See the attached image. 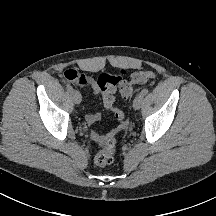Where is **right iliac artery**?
Returning a JSON list of instances; mask_svg holds the SVG:
<instances>
[{
	"label": "right iliac artery",
	"instance_id": "obj_1",
	"mask_svg": "<svg viewBox=\"0 0 216 216\" xmlns=\"http://www.w3.org/2000/svg\"><path fill=\"white\" fill-rule=\"evenodd\" d=\"M66 90H67L68 92H72V91H73V88H72L70 85H67Z\"/></svg>",
	"mask_w": 216,
	"mask_h": 216
}]
</instances>
